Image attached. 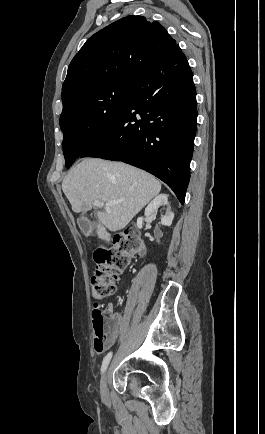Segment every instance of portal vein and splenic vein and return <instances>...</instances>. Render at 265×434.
<instances>
[{"mask_svg":"<svg viewBox=\"0 0 265 434\" xmlns=\"http://www.w3.org/2000/svg\"><path fill=\"white\" fill-rule=\"evenodd\" d=\"M120 202H124V198H121V200H112V202H106L105 210H110V206H116V204H120ZM94 206L102 208V202H99V200H94Z\"/></svg>","mask_w":265,"mask_h":434,"instance_id":"portal-vein-and-splenic-vein-1","label":"portal vein and splenic vein"}]
</instances>
